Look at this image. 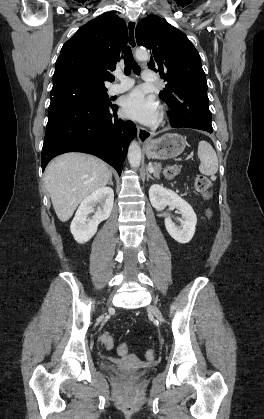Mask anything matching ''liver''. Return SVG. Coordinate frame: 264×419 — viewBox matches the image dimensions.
Here are the masks:
<instances>
[{"mask_svg": "<svg viewBox=\"0 0 264 419\" xmlns=\"http://www.w3.org/2000/svg\"><path fill=\"white\" fill-rule=\"evenodd\" d=\"M112 177L105 162L83 153L54 158L45 170V185L58 218L68 221L80 202Z\"/></svg>", "mask_w": 264, "mask_h": 419, "instance_id": "1", "label": "liver"}]
</instances>
